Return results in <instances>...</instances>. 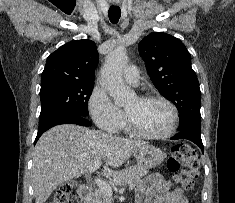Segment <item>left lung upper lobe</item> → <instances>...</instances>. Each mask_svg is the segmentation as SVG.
Returning a JSON list of instances; mask_svg holds the SVG:
<instances>
[{
    "label": "left lung upper lobe",
    "mask_w": 235,
    "mask_h": 203,
    "mask_svg": "<svg viewBox=\"0 0 235 203\" xmlns=\"http://www.w3.org/2000/svg\"><path fill=\"white\" fill-rule=\"evenodd\" d=\"M138 49L151 81L178 109L179 129H201V92L185 45L174 36L153 32L140 41Z\"/></svg>",
    "instance_id": "1"
}]
</instances>
